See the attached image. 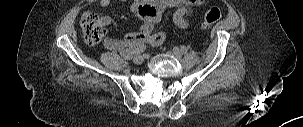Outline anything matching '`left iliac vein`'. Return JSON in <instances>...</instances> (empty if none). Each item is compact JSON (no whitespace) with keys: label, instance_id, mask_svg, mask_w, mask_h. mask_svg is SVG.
<instances>
[{"label":"left iliac vein","instance_id":"obj_1","mask_svg":"<svg viewBox=\"0 0 303 127\" xmlns=\"http://www.w3.org/2000/svg\"><path fill=\"white\" fill-rule=\"evenodd\" d=\"M169 54L175 57L176 59H180L182 57V53L178 49H173L169 52Z\"/></svg>","mask_w":303,"mask_h":127}]
</instances>
